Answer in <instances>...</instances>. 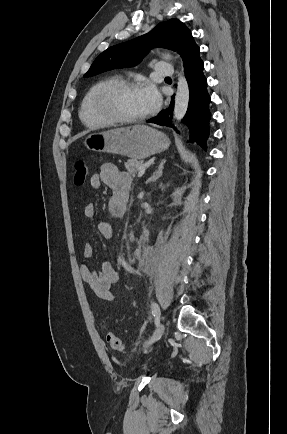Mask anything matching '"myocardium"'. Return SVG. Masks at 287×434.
I'll use <instances>...</instances> for the list:
<instances>
[{"instance_id": "obj_1", "label": "myocardium", "mask_w": 287, "mask_h": 434, "mask_svg": "<svg viewBox=\"0 0 287 434\" xmlns=\"http://www.w3.org/2000/svg\"><path fill=\"white\" fill-rule=\"evenodd\" d=\"M139 85V81L119 78L104 83L96 92L93 100L95 112L110 124H135L144 121L149 117L150 112L138 117H121L115 113L111 103L112 97L116 92L136 88Z\"/></svg>"}]
</instances>
